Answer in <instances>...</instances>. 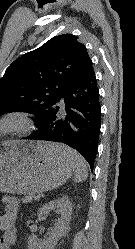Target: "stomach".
Listing matches in <instances>:
<instances>
[{"label":"stomach","mask_w":135,"mask_h":249,"mask_svg":"<svg viewBox=\"0 0 135 249\" xmlns=\"http://www.w3.org/2000/svg\"><path fill=\"white\" fill-rule=\"evenodd\" d=\"M42 141H10L0 145V191L35 194L53 190L71 176L74 162Z\"/></svg>","instance_id":"0dacf381"}]
</instances>
